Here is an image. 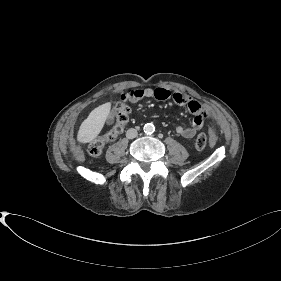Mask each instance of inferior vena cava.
Masks as SVG:
<instances>
[{
  "label": "inferior vena cava",
  "instance_id": "obj_1",
  "mask_svg": "<svg viewBox=\"0 0 281 281\" xmlns=\"http://www.w3.org/2000/svg\"><path fill=\"white\" fill-rule=\"evenodd\" d=\"M137 134H138V132H137L136 129L130 128V129H128L127 132H126V137H127L128 139H133V138H135V137L137 136Z\"/></svg>",
  "mask_w": 281,
  "mask_h": 281
}]
</instances>
